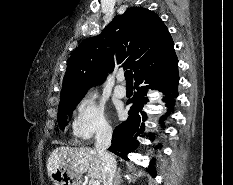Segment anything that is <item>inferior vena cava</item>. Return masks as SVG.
<instances>
[{
	"label": "inferior vena cava",
	"mask_w": 233,
	"mask_h": 185,
	"mask_svg": "<svg viewBox=\"0 0 233 185\" xmlns=\"http://www.w3.org/2000/svg\"><path fill=\"white\" fill-rule=\"evenodd\" d=\"M112 128L110 126L102 127L96 134L95 148L102 160V184L113 185V179L116 174V161L107 149L111 145Z\"/></svg>",
	"instance_id": "obj_1"
}]
</instances>
